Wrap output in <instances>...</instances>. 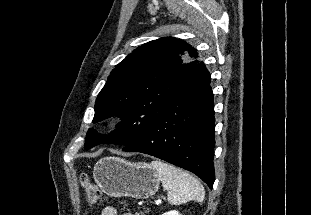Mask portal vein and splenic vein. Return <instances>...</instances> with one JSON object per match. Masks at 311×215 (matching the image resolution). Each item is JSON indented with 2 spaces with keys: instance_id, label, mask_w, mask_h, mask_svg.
Here are the masks:
<instances>
[{
  "instance_id": "1",
  "label": "portal vein and splenic vein",
  "mask_w": 311,
  "mask_h": 215,
  "mask_svg": "<svg viewBox=\"0 0 311 215\" xmlns=\"http://www.w3.org/2000/svg\"><path fill=\"white\" fill-rule=\"evenodd\" d=\"M161 203V199H158L157 201H156V204L158 205V204H160Z\"/></svg>"
}]
</instances>
